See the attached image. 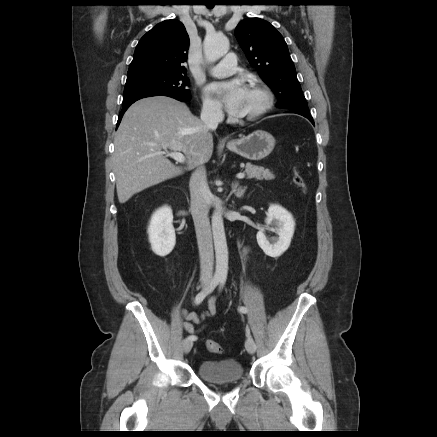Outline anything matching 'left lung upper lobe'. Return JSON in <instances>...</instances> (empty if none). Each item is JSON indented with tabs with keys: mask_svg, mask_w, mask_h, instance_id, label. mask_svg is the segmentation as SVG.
Here are the masks:
<instances>
[{
	"mask_svg": "<svg viewBox=\"0 0 437 437\" xmlns=\"http://www.w3.org/2000/svg\"><path fill=\"white\" fill-rule=\"evenodd\" d=\"M235 36L249 63L278 97V107L310 113L282 35L260 18L242 20Z\"/></svg>",
	"mask_w": 437,
	"mask_h": 437,
	"instance_id": "obj_1",
	"label": "left lung upper lobe"
}]
</instances>
